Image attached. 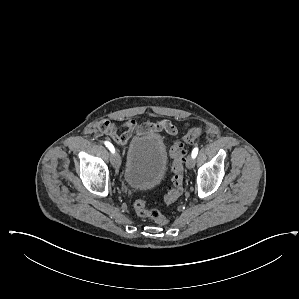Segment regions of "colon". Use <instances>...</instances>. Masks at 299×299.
I'll list each match as a JSON object with an SVG mask.
<instances>
[{
  "label": "colon",
  "instance_id": "5ec220e1",
  "mask_svg": "<svg viewBox=\"0 0 299 299\" xmlns=\"http://www.w3.org/2000/svg\"><path fill=\"white\" fill-rule=\"evenodd\" d=\"M98 128L105 132L109 129L108 122H102L98 125ZM202 135L200 128H192L185 135L177 138L170 149V155L172 158V186L163 198V202L169 205L175 202L183 193V177H184V159H185V146L192 144ZM134 209L136 213L145 218L153 220L159 225H165L168 223V218L162 214L159 210L148 209L147 203L143 199H137L134 202Z\"/></svg>",
  "mask_w": 299,
  "mask_h": 299
}]
</instances>
